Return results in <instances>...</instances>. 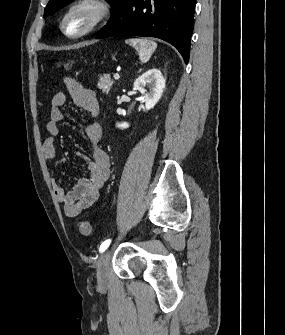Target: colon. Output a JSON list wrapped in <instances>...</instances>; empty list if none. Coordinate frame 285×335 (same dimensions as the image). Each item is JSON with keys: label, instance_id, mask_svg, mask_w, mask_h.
<instances>
[{"label": "colon", "instance_id": "colon-1", "mask_svg": "<svg viewBox=\"0 0 285 335\" xmlns=\"http://www.w3.org/2000/svg\"><path fill=\"white\" fill-rule=\"evenodd\" d=\"M59 65L66 71H70L73 67V62L72 61H62L59 62ZM78 230L79 232L84 235L88 236L92 232V227L89 221L87 220H81L78 222Z\"/></svg>", "mask_w": 285, "mask_h": 335}]
</instances>
